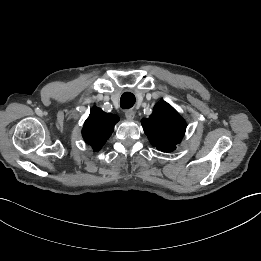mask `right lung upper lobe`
Masks as SVG:
<instances>
[{
	"mask_svg": "<svg viewBox=\"0 0 261 261\" xmlns=\"http://www.w3.org/2000/svg\"><path fill=\"white\" fill-rule=\"evenodd\" d=\"M117 121L118 116L107 114L99 108H93L85 121L82 131L83 138L92 145L95 151L99 150L113 132Z\"/></svg>",
	"mask_w": 261,
	"mask_h": 261,
	"instance_id": "cb5924a9",
	"label": "right lung upper lobe"
}]
</instances>
